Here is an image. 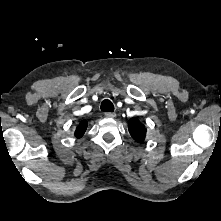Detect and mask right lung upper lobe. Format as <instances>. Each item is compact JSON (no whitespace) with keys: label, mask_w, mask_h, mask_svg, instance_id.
<instances>
[{"label":"right lung upper lobe","mask_w":221,"mask_h":221,"mask_svg":"<svg viewBox=\"0 0 221 221\" xmlns=\"http://www.w3.org/2000/svg\"><path fill=\"white\" fill-rule=\"evenodd\" d=\"M87 125L88 123L86 120L81 121L75 131V137L81 138L86 131Z\"/></svg>","instance_id":"cb5924a9"}]
</instances>
